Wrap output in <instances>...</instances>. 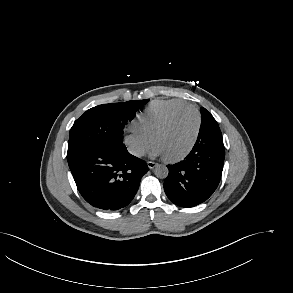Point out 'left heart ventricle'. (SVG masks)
Here are the masks:
<instances>
[{
  "instance_id": "obj_1",
  "label": "left heart ventricle",
  "mask_w": 293,
  "mask_h": 293,
  "mask_svg": "<svg viewBox=\"0 0 293 293\" xmlns=\"http://www.w3.org/2000/svg\"><path fill=\"white\" fill-rule=\"evenodd\" d=\"M197 119L193 111L178 115L171 125L156 138L157 145L166 157L184 152L193 140Z\"/></svg>"
}]
</instances>
